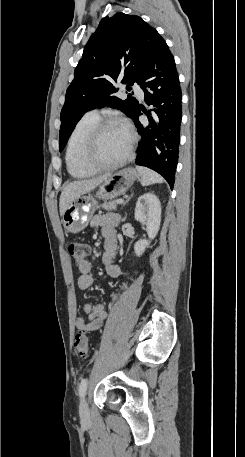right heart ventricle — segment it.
I'll return each instance as SVG.
<instances>
[{
    "mask_svg": "<svg viewBox=\"0 0 245 457\" xmlns=\"http://www.w3.org/2000/svg\"><path fill=\"white\" fill-rule=\"evenodd\" d=\"M99 121L98 116L86 114L72 130L66 151V162L69 173L75 178H84L91 172L83 168L79 163V153L83 149L86 138L92 127ZM89 150L87 151V155Z\"/></svg>",
    "mask_w": 245,
    "mask_h": 457,
    "instance_id": "right-heart-ventricle-1",
    "label": "right heart ventricle"
}]
</instances>
